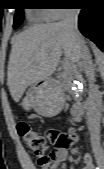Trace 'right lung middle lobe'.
<instances>
[{"instance_id":"obj_1","label":"right lung middle lobe","mask_w":104,"mask_h":169,"mask_svg":"<svg viewBox=\"0 0 104 169\" xmlns=\"http://www.w3.org/2000/svg\"><path fill=\"white\" fill-rule=\"evenodd\" d=\"M23 19V8H17L15 12V18H14V28H17L21 23Z\"/></svg>"}]
</instances>
